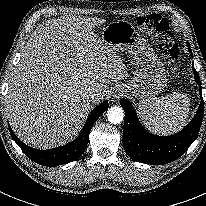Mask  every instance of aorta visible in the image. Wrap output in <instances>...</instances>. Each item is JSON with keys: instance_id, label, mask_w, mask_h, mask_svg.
Masks as SVG:
<instances>
[{"instance_id": "762f6f07", "label": "aorta", "mask_w": 206, "mask_h": 206, "mask_svg": "<svg viewBox=\"0 0 206 206\" xmlns=\"http://www.w3.org/2000/svg\"><path fill=\"white\" fill-rule=\"evenodd\" d=\"M107 119L112 124H119L124 119L123 109L119 106H113L107 111Z\"/></svg>"}]
</instances>
